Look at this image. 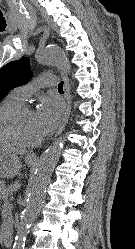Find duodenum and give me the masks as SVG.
Returning a JSON list of instances; mask_svg holds the SVG:
<instances>
[{
    "instance_id": "410a0bca",
    "label": "duodenum",
    "mask_w": 135,
    "mask_h": 249,
    "mask_svg": "<svg viewBox=\"0 0 135 249\" xmlns=\"http://www.w3.org/2000/svg\"><path fill=\"white\" fill-rule=\"evenodd\" d=\"M0 244L2 247L9 249L11 247V237L9 235H3L0 238Z\"/></svg>"
}]
</instances>
